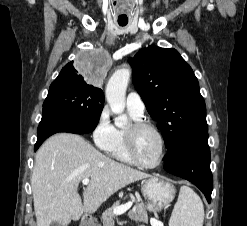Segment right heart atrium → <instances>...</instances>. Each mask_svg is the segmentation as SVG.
<instances>
[{"instance_id": "d8ad5b80", "label": "right heart atrium", "mask_w": 247, "mask_h": 226, "mask_svg": "<svg viewBox=\"0 0 247 226\" xmlns=\"http://www.w3.org/2000/svg\"><path fill=\"white\" fill-rule=\"evenodd\" d=\"M114 132L115 127L110 121L109 110L104 107L100 111L92 134L95 145L102 150H106L114 139Z\"/></svg>"}]
</instances>
